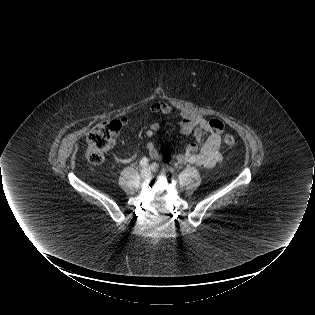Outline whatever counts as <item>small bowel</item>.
<instances>
[{"mask_svg": "<svg viewBox=\"0 0 315 315\" xmlns=\"http://www.w3.org/2000/svg\"><path fill=\"white\" fill-rule=\"evenodd\" d=\"M151 113L168 115L172 108L164 102L154 103L149 107ZM181 121L178 124V130L182 135H193L194 142L190 143L183 152L176 153L170 157L181 164H194L205 168H212L222 161L221 153V133L224 125L221 120L209 119L202 115H196L190 111L182 110L180 112ZM121 126L128 124L127 118L118 120ZM160 129L158 122L149 124L145 135L151 138ZM146 150L149 156L154 160H161L162 154L156 144L149 141L146 144Z\"/></svg>", "mask_w": 315, "mask_h": 315, "instance_id": "obj_1", "label": "small bowel"}]
</instances>
